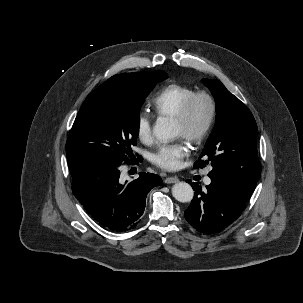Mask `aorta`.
<instances>
[{
  "mask_svg": "<svg viewBox=\"0 0 303 303\" xmlns=\"http://www.w3.org/2000/svg\"><path fill=\"white\" fill-rule=\"evenodd\" d=\"M153 135L158 140H169L177 136V130L171 120L161 118L156 121V124L153 127ZM172 195L177 201L186 203L193 199L194 191L190 184L178 182L172 187Z\"/></svg>",
  "mask_w": 303,
  "mask_h": 303,
  "instance_id": "762f6f07",
  "label": "aorta"
}]
</instances>
